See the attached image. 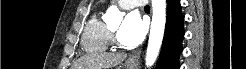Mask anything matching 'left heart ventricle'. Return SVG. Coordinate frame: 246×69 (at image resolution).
<instances>
[{
	"mask_svg": "<svg viewBox=\"0 0 246 69\" xmlns=\"http://www.w3.org/2000/svg\"><path fill=\"white\" fill-rule=\"evenodd\" d=\"M113 31H114L115 33H118V32H119V27L114 28Z\"/></svg>",
	"mask_w": 246,
	"mask_h": 69,
	"instance_id": "obj_1",
	"label": "left heart ventricle"
}]
</instances>
